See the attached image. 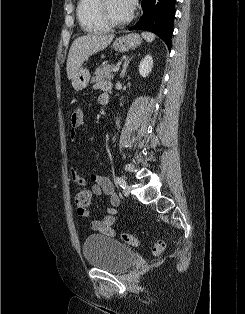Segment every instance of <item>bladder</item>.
Listing matches in <instances>:
<instances>
[{
    "label": "bladder",
    "instance_id": "31cf9c89",
    "mask_svg": "<svg viewBox=\"0 0 245 314\" xmlns=\"http://www.w3.org/2000/svg\"><path fill=\"white\" fill-rule=\"evenodd\" d=\"M82 250L87 264L110 272H123L137 258L133 249L103 235L87 236Z\"/></svg>",
    "mask_w": 245,
    "mask_h": 314
}]
</instances>
